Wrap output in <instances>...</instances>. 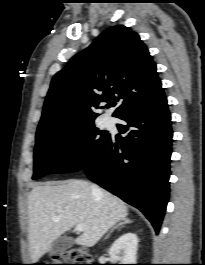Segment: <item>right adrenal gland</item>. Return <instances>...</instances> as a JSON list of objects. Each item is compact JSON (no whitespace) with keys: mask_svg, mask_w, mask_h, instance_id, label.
<instances>
[{"mask_svg":"<svg viewBox=\"0 0 205 265\" xmlns=\"http://www.w3.org/2000/svg\"><path fill=\"white\" fill-rule=\"evenodd\" d=\"M131 222H132V221L129 220V219H124L122 222H120L119 224H117L116 226H114V227L110 230V232L107 234V236L105 237V239H107V238L110 236V234H111L114 230H116V229H120V228L124 227L125 224H130Z\"/></svg>","mask_w":205,"mask_h":265,"instance_id":"1","label":"right adrenal gland"}]
</instances>
